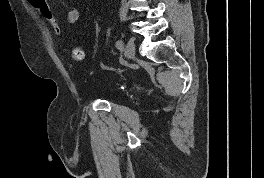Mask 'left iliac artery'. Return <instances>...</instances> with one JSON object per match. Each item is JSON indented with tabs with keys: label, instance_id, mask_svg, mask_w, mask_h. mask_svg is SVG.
Returning a JSON list of instances; mask_svg holds the SVG:
<instances>
[{
	"label": "left iliac artery",
	"instance_id": "obj_1",
	"mask_svg": "<svg viewBox=\"0 0 264 178\" xmlns=\"http://www.w3.org/2000/svg\"><path fill=\"white\" fill-rule=\"evenodd\" d=\"M123 45H124V43H123L122 40H118V41L116 42V47H117L118 49H122V48H123Z\"/></svg>",
	"mask_w": 264,
	"mask_h": 178
}]
</instances>
